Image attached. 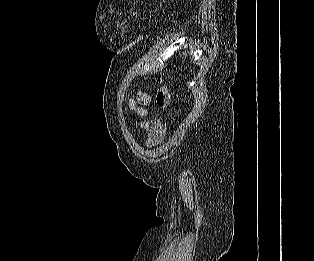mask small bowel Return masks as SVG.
Returning a JSON list of instances; mask_svg holds the SVG:
<instances>
[{
	"label": "small bowel",
	"mask_w": 314,
	"mask_h": 261,
	"mask_svg": "<svg viewBox=\"0 0 314 261\" xmlns=\"http://www.w3.org/2000/svg\"><path fill=\"white\" fill-rule=\"evenodd\" d=\"M150 101V96L146 93H142L138 97V102L141 105L146 106ZM131 107L141 116L147 115V112L144 108L136 107L134 102H130ZM144 128L148 132V139L147 142L149 145H158L162 142L165 136V126L156 120H151L146 122Z\"/></svg>",
	"instance_id": "c3829d8e"
}]
</instances>
